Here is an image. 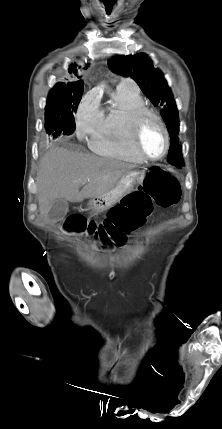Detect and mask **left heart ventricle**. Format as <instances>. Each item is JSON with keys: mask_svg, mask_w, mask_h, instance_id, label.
<instances>
[{"mask_svg": "<svg viewBox=\"0 0 222 429\" xmlns=\"http://www.w3.org/2000/svg\"><path fill=\"white\" fill-rule=\"evenodd\" d=\"M140 144L149 156L157 157L165 148V139L158 122L146 116L140 129Z\"/></svg>", "mask_w": 222, "mask_h": 429, "instance_id": "obj_1", "label": "left heart ventricle"}]
</instances>
